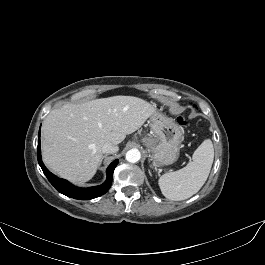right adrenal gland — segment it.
Here are the masks:
<instances>
[{"mask_svg": "<svg viewBox=\"0 0 265 265\" xmlns=\"http://www.w3.org/2000/svg\"><path fill=\"white\" fill-rule=\"evenodd\" d=\"M105 157H106V156H102L99 165H101V163H102V161H103V159H104Z\"/></svg>", "mask_w": 265, "mask_h": 265, "instance_id": "2a0ac1e0", "label": "right adrenal gland"}]
</instances>
